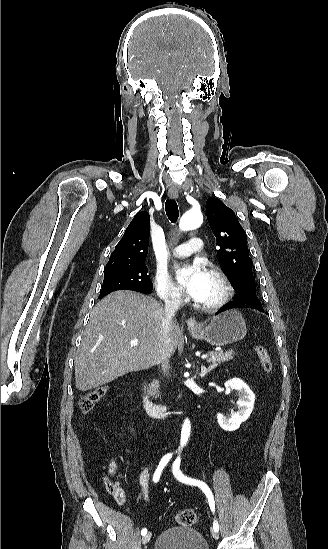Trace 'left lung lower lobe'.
<instances>
[{"instance_id": "0a47b994", "label": "left lung lower lobe", "mask_w": 328, "mask_h": 549, "mask_svg": "<svg viewBox=\"0 0 328 549\" xmlns=\"http://www.w3.org/2000/svg\"><path fill=\"white\" fill-rule=\"evenodd\" d=\"M241 307L254 308V309H256V310H259V311H261V312H264L263 307H262L260 301L257 302V303H245V302H243V301H241V300H234L233 302H231V303L225 305L224 307H222L216 314H219V313H221V312H224V311H226V310H228V309H232V308H241Z\"/></svg>"}]
</instances>
